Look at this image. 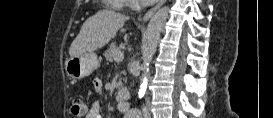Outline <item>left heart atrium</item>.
Returning <instances> with one entry per match:
<instances>
[{
    "label": "left heart atrium",
    "instance_id": "39dd6f15",
    "mask_svg": "<svg viewBox=\"0 0 273 118\" xmlns=\"http://www.w3.org/2000/svg\"><path fill=\"white\" fill-rule=\"evenodd\" d=\"M144 1H155V0H144Z\"/></svg>",
    "mask_w": 273,
    "mask_h": 118
}]
</instances>
